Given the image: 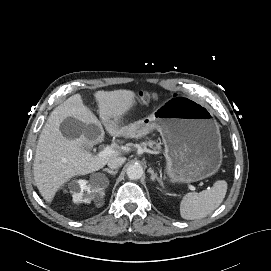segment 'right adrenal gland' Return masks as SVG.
Listing matches in <instances>:
<instances>
[{
    "label": "right adrenal gland",
    "instance_id": "obj_1",
    "mask_svg": "<svg viewBox=\"0 0 271 271\" xmlns=\"http://www.w3.org/2000/svg\"><path fill=\"white\" fill-rule=\"evenodd\" d=\"M103 171H106L109 174L115 175L118 172V169L117 170H111V169H108V168H104Z\"/></svg>",
    "mask_w": 271,
    "mask_h": 271
}]
</instances>
